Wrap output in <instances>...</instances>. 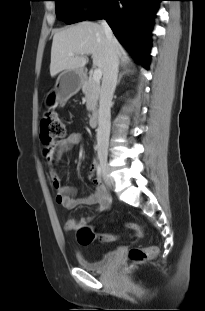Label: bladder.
<instances>
[{
    "instance_id": "31cf9c89",
    "label": "bladder",
    "mask_w": 205,
    "mask_h": 311,
    "mask_svg": "<svg viewBox=\"0 0 205 311\" xmlns=\"http://www.w3.org/2000/svg\"><path fill=\"white\" fill-rule=\"evenodd\" d=\"M116 257V251L111 250L102 255L100 260L91 261L84 254H78L77 260L79 265L88 271H103Z\"/></svg>"
}]
</instances>
